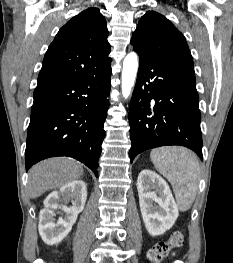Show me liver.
I'll return each instance as SVG.
<instances>
[{
    "instance_id": "liver-1",
    "label": "liver",
    "mask_w": 233,
    "mask_h": 263,
    "mask_svg": "<svg viewBox=\"0 0 233 263\" xmlns=\"http://www.w3.org/2000/svg\"><path fill=\"white\" fill-rule=\"evenodd\" d=\"M83 175L80 163L70 158H50L39 162L29 171L28 194L31 198L41 196L48 190L79 179Z\"/></svg>"
}]
</instances>
